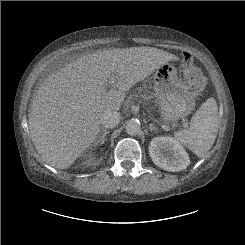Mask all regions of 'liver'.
<instances>
[{
	"label": "liver",
	"mask_w": 245,
	"mask_h": 245,
	"mask_svg": "<svg viewBox=\"0 0 245 245\" xmlns=\"http://www.w3.org/2000/svg\"><path fill=\"white\" fill-rule=\"evenodd\" d=\"M175 60L153 47L107 49L49 75L33 97L28 120L41 158L52 167L68 168L96 141L101 114L118 111L127 91Z\"/></svg>",
	"instance_id": "1"
}]
</instances>
